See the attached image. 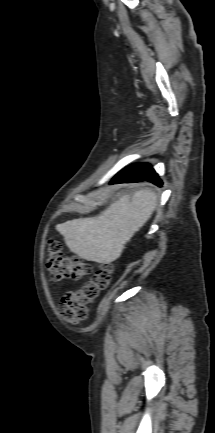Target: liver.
Here are the masks:
<instances>
[{
	"instance_id": "liver-1",
	"label": "liver",
	"mask_w": 215,
	"mask_h": 433,
	"mask_svg": "<svg viewBox=\"0 0 215 433\" xmlns=\"http://www.w3.org/2000/svg\"><path fill=\"white\" fill-rule=\"evenodd\" d=\"M157 195L142 189L112 203L99 216L56 225L71 252L87 261L108 264L117 260L134 234L150 219Z\"/></svg>"
}]
</instances>
